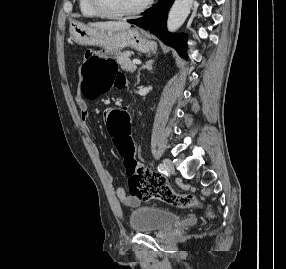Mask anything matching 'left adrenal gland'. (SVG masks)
<instances>
[{
  "label": "left adrenal gland",
  "instance_id": "obj_1",
  "mask_svg": "<svg viewBox=\"0 0 286 269\" xmlns=\"http://www.w3.org/2000/svg\"><path fill=\"white\" fill-rule=\"evenodd\" d=\"M153 63H154V60H148V61L145 62L144 65H142V66L139 68V70H138V75H137V84L140 82V73H141V70H142V69H147V70L151 71L152 68H153V66H152Z\"/></svg>",
  "mask_w": 286,
  "mask_h": 269
}]
</instances>
